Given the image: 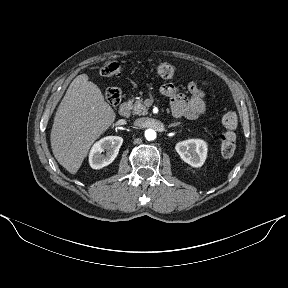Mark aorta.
Listing matches in <instances>:
<instances>
[{"label":"aorta","mask_w":288,"mask_h":288,"mask_svg":"<svg viewBox=\"0 0 288 288\" xmlns=\"http://www.w3.org/2000/svg\"><path fill=\"white\" fill-rule=\"evenodd\" d=\"M145 138L148 140V141H152L156 138V132L155 130L153 129H147L145 131Z\"/></svg>","instance_id":"aorta-1"}]
</instances>
